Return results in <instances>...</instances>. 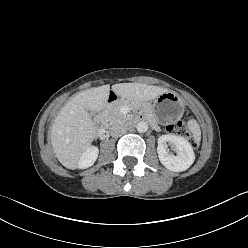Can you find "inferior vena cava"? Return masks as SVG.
I'll use <instances>...</instances> for the list:
<instances>
[{
	"label": "inferior vena cava",
	"mask_w": 248,
	"mask_h": 248,
	"mask_svg": "<svg viewBox=\"0 0 248 248\" xmlns=\"http://www.w3.org/2000/svg\"><path fill=\"white\" fill-rule=\"evenodd\" d=\"M127 132L126 127L118 122H115L110 127V133L113 137H119L124 135Z\"/></svg>",
	"instance_id": "inferior-vena-cava-1"
}]
</instances>
